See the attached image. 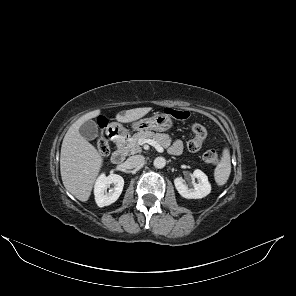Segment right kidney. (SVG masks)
Returning <instances> with one entry per match:
<instances>
[{"instance_id": "right-kidney-1", "label": "right kidney", "mask_w": 296, "mask_h": 296, "mask_svg": "<svg viewBox=\"0 0 296 296\" xmlns=\"http://www.w3.org/2000/svg\"><path fill=\"white\" fill-rule=\"evenodd\" d=\"M111 184L114 185V187L107 192V188ZM123 186L124 179L118 174H110L107 177L104 174L100 175L94 186V195L97 205L99 207H104L117 201L122 193Z\"/></svg>"}]
</instances>
